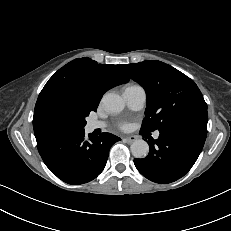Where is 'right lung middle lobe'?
Segmentation results:
<instances>
[{"label":"right lung middle lobe","instance_id":"1","mask_svg":"<svg viewBox=\"0 0 231 231\" xmlns=\"http://www.w3.org/2000/svg\"><path fill=\"white\" fill-rule=\"evenodd\" d=\"M94 109L77 92H64L51 97L39 113L36 135H63L84 130L85 118Z\"/></svg>","mask_w":231,"mask_h":231}]
</instances>
